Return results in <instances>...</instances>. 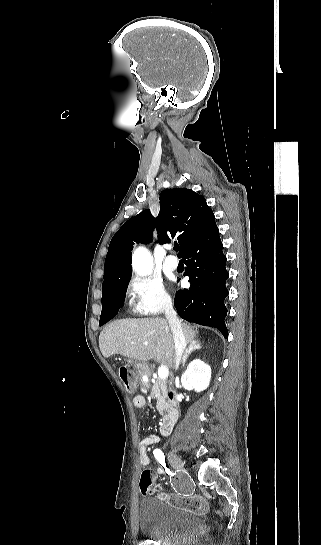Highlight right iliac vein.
I'll use <instances>...</instances> for the list:
<instances>
[{"mask_svg": "<svg viewBox=\"0 0 321 545\" xmlns=\"http://www.w3.org/2000/svg\"><path fill=\"white\" fill-rule=\"evenodd\" d=\"M168 460L174 469L183 470L184 463L174 452H168Z\"/></svg>", "mask_w": 321, "mask_h": 545, "instance_id": "obj_1", "label": "right iliac vein"}]
</instances>
